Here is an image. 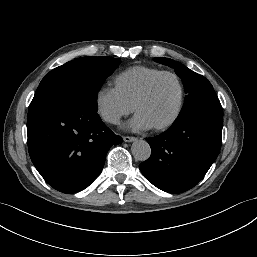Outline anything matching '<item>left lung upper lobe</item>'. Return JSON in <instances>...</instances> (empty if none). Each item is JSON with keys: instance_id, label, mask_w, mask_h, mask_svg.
I'll use <instances>...</instances> for the list:
<instances>
[{"instance_id": "1", "label": "left lung upper lobe", "mask_w": 257, "mask_h": 257, "mask_svg": "<svg viewBox=\"0 0 257 257\" xmlns=\"http://www.w3.org/2000/svg\"><path fill=\"white\" fill-rule=\"evenodd\" d=\"M154 61L173 67L176 74L182 79L187 96L179 115H183L211 101L219 100L211 83L204 76L169 58L157 57L154 58Z\"/></svg>"}]
</instances>
